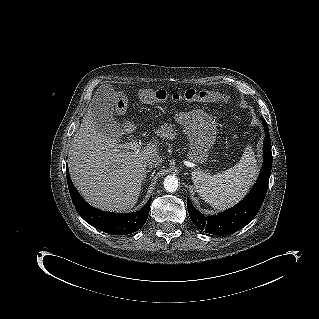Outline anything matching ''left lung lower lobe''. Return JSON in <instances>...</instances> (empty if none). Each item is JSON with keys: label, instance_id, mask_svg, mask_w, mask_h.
<instances>
[{"label": "left lung lower lobe", "instance_id": "1", "mask_svg": "<svg viewBox=\"0 0 319 319\" xmlns=\"http://www.w3.org/2000/svg\"><path fill=\"white\" fill-rule=\"evenodd\" d=\"M263 125L265 129L264 162L255 185L245 199L231 209L213 217H204L187 199L190 218L200 230L214 235H229L245 227L258 213L268 189L272 166L270 135L267 123L264 120Z\"/></svg>", "mask_w": 319, "mask_h": 319}]
</instances>
